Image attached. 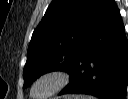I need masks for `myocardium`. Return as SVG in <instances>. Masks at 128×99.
I'll list each match as a JSON object with an SVG mask.
<instances>
[{
	"label": "myocardium",
	"instance_id": "myocardium-1",
	"mask_svg": "<svg viewBox=\"0 0 128 99\" xmlns=\"http://www.w3.org/2000/svg\"><path fill=\"white\" fill-rule=\"evenodd\" d=\"M45 79H54L56 81V84L54 87L47 92L44 95L37 96L34 94V90L36 86L43 80ZM71 82V74L68 70L63 69V68H55V69H50L47 70L43 73H41L32 83L31 88H30V95L33 98H48L51 96L56 95L59 93L61 90H63L66 86L69 85Z\"/></svg>",
	"mask_w": 128,
	"mask_h": 99
}]
</instances>
